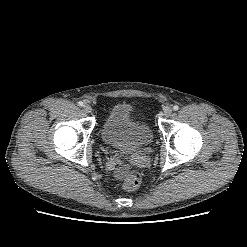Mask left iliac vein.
Instances as JSON below:
<instances>
[{
  "mask_svg": "<svg viewBox=\"0 0 247 247\" xmlns=\"http://www.w3.org/2000/svg\"><path fill=\"white\" fill-rule=\"evenodd\" d=\"M172 109L171 108H167L164 110V116L169 117L172 114Z\"/></svg>",
  "mask_w": 247,
  "mask_h": 247,
  "instance_id": "left-iliac-vein-1",
  "label": "left iliac vein"
}]
</instances>
